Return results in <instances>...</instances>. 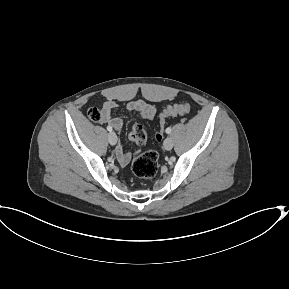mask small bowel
<instances>
[{
  "label": "small bowel",
  "mask_w": 289,
  "mask_h": 289,
  "mask_svg": "<svg viewBox=\"0 0 289 289\" xmlns=\"http://www.w3.org/2000/svg\"><path fill=\"white\" fill-rule=\"evenodd\" d=\"M116 107V101L107 100L101 108L102 119L100 122L108 123L109 126L119 132L122 128L123 121L120 117L112 116V112ZM126 109L130 112L138 114L143 119H152L156 112V109L153 105L144 101H130L127 103ZM115 155L121 165H127L131 159V154L125 152L120 145L116 147Z\"/></svg>",
  "instance_id": "obj_1"
}]
</instances>
